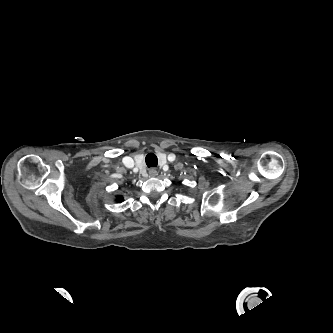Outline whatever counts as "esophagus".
<instances>
[{"label": "esophagus", "mask_w": 333, "mask_h": 333, "mask_svg": "<svg viewBox=\"0 0 333 333\" xmlns=\"http://www.w3.org/2000/svg\"><path fill=\"white\" fill-rule=\"evenodd\" d=\"M157 174H158V172H157L156 168L149 169V175L151 177H155V176H157Z\"/></svg>", "instance_id": "obj_1"}]
</instances>
